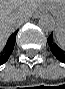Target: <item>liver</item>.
Masks as SVG:
<instances>
[{
  "label": "liver",
  "mask_w": 65,
  "mask_h": 89,
  "mask_svg": "<svg viewBox=\"0 0 65 89\" xmlns=\"http://www.w3.org/2000/svg\"><path fill=\"white\" fill-rule=\"evenodd\" d=\"M64 1L55 0H0V46L5 45L8 37L15 28V23L28 19L40 7Z\"/></svg>",
  "instance_id": "1"
}]
</instances>
